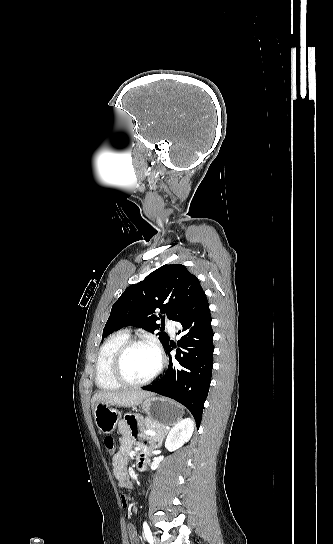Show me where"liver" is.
Listing matches in <instances>:
<instances>
[{
    "instance_id": "liver-1",
    "label": "liver",
    "mask_w": 333,
    "mask_h": 544,
    "mask_svg": "<svg viewBox=\"0 0 333 544\" xmlns=\"http://www.w3.org/2000/svg\"><path fill=\"white\" fill-rule=\"evenodd\" d=\"M151 395L152 394L150 392L136 389L124 391H102L97 392L92 397L91 406L93 411L95 404L99 402L111 403L124 407H135Z\"/></svg>"
}]
</instances>
